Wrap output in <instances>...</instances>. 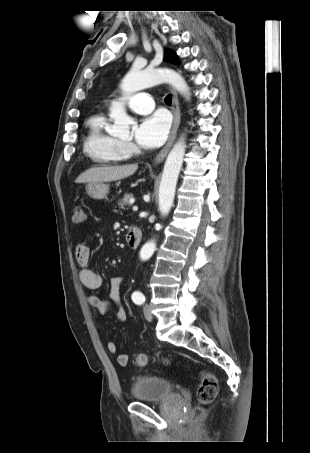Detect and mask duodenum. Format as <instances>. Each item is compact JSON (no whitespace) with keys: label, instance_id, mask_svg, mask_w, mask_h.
<instances>
[{"label":"duodenum","instance_id":"obj_1","mask_svg":"<svg viewBox=\"0 0 310 453\" xmlns=\"http://www.w3.org/2000/svg\"><path fill=\"white\" fill-rule=\"evenodd\" d=\"M128 246L135 249L139 246L142 239V232L139 228H131L126 235Z\"/></svg>","mask_w":310,"mask_h":453}]
</instances>
